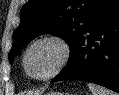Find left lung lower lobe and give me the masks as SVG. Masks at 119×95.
<instances>
[{"instance_id": "0a47b994", "label": "left lung lower lobe", "mask_w": 119, "mask_h": 95, "mask_svg": "<svg viewBox=\"0 0 119 95\" xmlns=\"http://www.w3.org/2000/svg\"><path fill=\"white\" fill-rule=\"evenodd\" d=\"M81 80L119 93V0H112L95 18L78 48L73 62L51 83Z\"/></svg>"}]
</instances>
